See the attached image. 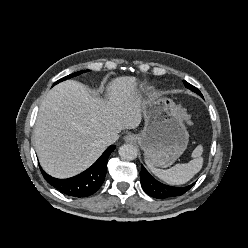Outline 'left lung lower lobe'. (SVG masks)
Wrapping results in <instances>:
<instances>
[{
    "mask_svg": "<svg viewBox=\"0 0 248 248\" xmlns=\"http://www.w3.org/2000/svg\"><path fill=\"white\" fill-rule=\"evenodd\" d=\"M140 178L143 190L151 197L158 199L183 195L195 184L193 183L186 187H173L162 184L155 180L143 165H141Z\"/></svg>",
    "mask_w": 248,
    "mask_h": 248,
    "instance_id": "left-lung-lower-lobe-1",
    "label": "left lung lower lobe"
}]
</instances>
